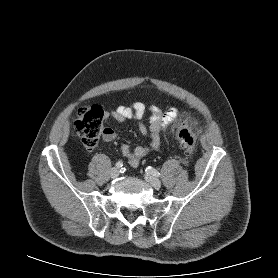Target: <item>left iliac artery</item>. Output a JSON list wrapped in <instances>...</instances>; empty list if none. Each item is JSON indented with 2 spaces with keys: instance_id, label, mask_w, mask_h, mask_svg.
I'll return each mask as SVG.
<instances>
[{
  "instance_id": "1",
  "label": "left iliac artery",
  "mask_w": 278,
  "mask_h": 278,
  "mask_svg": "<svg viewBox=\"0 0 278 278\" xmlns=\"http://www.w3.org/2000/svg\"><path fill=\"white\" fill-rule=\"evenodd\" d=\"M146 171H147L148 173L152 174L153 176H156V177H159V176H160V173H159L156 169L152 168L151 166H148V167L146 168Z\"/></svg>"
}]
</instances>
